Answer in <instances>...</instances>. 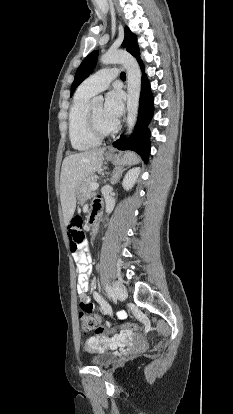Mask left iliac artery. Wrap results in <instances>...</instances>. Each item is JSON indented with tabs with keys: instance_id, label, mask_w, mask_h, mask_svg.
I'll return each mask as SVG.
<instances>
[{
	"instance_id": "left-iliac-artery-1",
	"label": "left iliac artery",
	"mask_w": 233,
	"mask_h": 414,
	"mask_svg": "<svg viewBox=\"0 0 233 414\" xmlns=\"http://www.w3.org/2000/svg\"><path fill=\"white\" fill-rule=\"evenodd\" d=\"M106 292H107L109 297L113 296V290L109 285H106Z\"/></svg>"
}]
</instances>
